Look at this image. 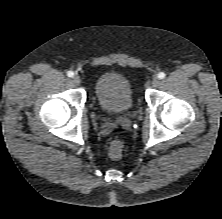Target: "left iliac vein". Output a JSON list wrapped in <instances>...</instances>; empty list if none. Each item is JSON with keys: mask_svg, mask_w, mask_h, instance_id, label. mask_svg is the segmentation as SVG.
Masks as SVG:
<instances>
[{"mask_svg": "<svg viewBox=\"0 0 222 219\" xmlns=\"http://www.w3.org/2000/svg\"><path fill=\"white\" fill-rule=\"evenodd\" d=\"M160 83V80H159V78L158 77H154L153 79H152V86H158V84Z\"/></svg>", "mask_w": 222, "mask_h": 219, "instance_id": "4c4485c4", "label": "left iliac vein"}]
</instances>
